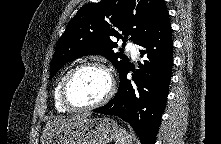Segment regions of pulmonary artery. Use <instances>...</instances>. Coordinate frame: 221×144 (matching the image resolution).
<instances>
[{
  "instance_id": "e3ab8cb5",
  "label": "pulmonary artery",
  "mask_w": 221,
  "mask_h": 144,
  "mask_svg": "<svg viewBox=\"0 0 221 144\" xmlns=\"http://www.w3.org/2000/svg\"><path fill=\"white\" fill-rule=\"evenodd\" d=\"M126 47L130 51L132 58L135 59L138 55V46L133 42H129Z\"/></svg>"
}]
</instances>
